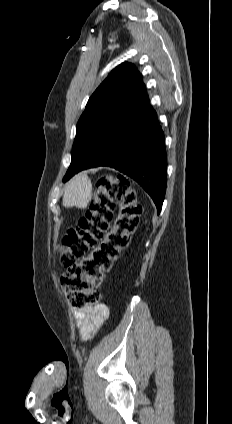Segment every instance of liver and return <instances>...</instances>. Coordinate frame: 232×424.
<instances>
[{"label": "liver", "instance_id": "1", "mask_svg": "<svg viewBox=\"0 0 232 424\" xmlns=\"http://www.w3.org/2000/svg\"><path fill=\"white\" fill-rule=\"evenodd\" d=\"M92 199V188L85 174L75 175L66 185L63 195L64 207L85 209Z\"/></svg>", "mask_w": 232, "mask_h": 424}]
</instances>
